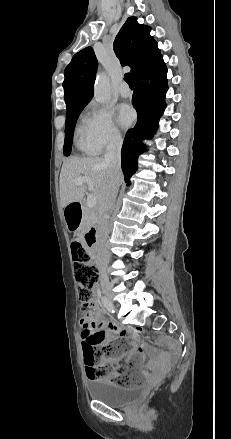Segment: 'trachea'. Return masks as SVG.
Instances as JSON below:
<instances>
[{"instance_id":"3493384b","label":"trachea","mask_w":231,"mask_h":439,"mask_svg":"<svg viewBox=\"0 0 231 439\" xmlns=\"http://www.w3.org/2000/svg\"><path fill=\"white\" fill-rule=\"evenodd\" d=\"M124 80L128 83V85L130 87H134V82H133V78L132 75L130 73H126L124 75Z\"/></svg>"}]
</instances>
